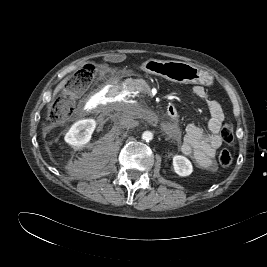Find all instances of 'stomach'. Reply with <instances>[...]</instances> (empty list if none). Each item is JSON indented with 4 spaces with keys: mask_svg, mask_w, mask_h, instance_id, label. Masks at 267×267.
Listing matches in <instances>:
<instances>
[{
    "mask_svg": "<svg viewBox=\"0 0 267 267\" xmlns=\"http://www.w3.org/2000/svg\"><path fill=\"white\" fill-rule=\"evenodd\" d=\"M141 68L146 73L162 76L177 83H199L209 86L213 81L212 76L208 72L181 61L149 59L142 64Z\"/></svg>",
    "mask_w": 267,
    "mask_h": 267,
    "instance_id": "stomach-1",
    "label": "stomach"
}]
</instances>
